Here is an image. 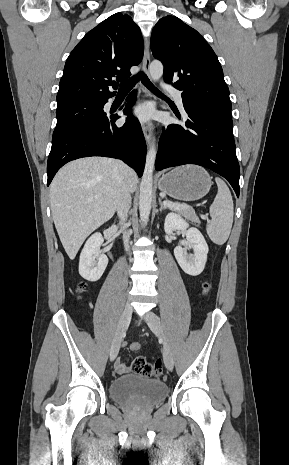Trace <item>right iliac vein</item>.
Wrapping results in <instances>:
<instances>
[{
  "instance_id": "63e3f726",
  "label": "right iliac vein",
  "mask_w": 289,
  "mask_h": 465,
  "mask_svg": "<svg viewBox=\"0 0 289 465\" xmlns=\"http://www.w3.org/2000/svg\"><path fill=\"white\" fill-rule=\"evenodd\" d=\"M132 317V307L127 304L121 314L120 321L117 327V331L115 337L112 342V346L110 349V360L113 361L120 349L121 341L123 336L129 326L130 320Z\"/></svg>"
}]
</instances>
